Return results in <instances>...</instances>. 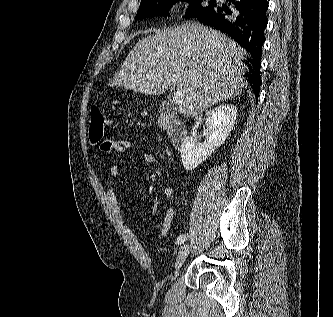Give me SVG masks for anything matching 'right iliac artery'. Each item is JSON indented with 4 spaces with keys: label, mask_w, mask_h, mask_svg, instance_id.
I'll return each instance as SVG.
<instances>
[{
    "label": "right iliac artery",
    "mask_w": 333,
    "mask_h": 317,
    "mask_svg": "<svg viewBox=\"0 0 333 317\" xmlns=\"http://www.w3.org/2000/svg\"><path fill=\"white\" fill-rule=\"evenodd\" d=\"M187 239H188V235H187V234H182V235H180V236L177 238L176 243H177L178 245H181V244H183Z\"/></svg>",
    "instance_id": "obj_1"
}]
</instances>
